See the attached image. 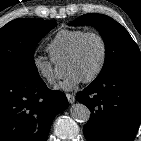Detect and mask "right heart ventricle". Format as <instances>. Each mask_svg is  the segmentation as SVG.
Returning a JSON list of instances; mask_svg holds the SVG:
<instances>
[{
	"label": "right heart ventricle",
	"instance_id": "right-heart-ventricle-1",
	"mask_svg": "<svg viewBox=\"0 0 141 141\" xmlns=\"http://www.w3.org/2000/svg\"><path fill=\"white\" fill-rule=\"evenodd\" d=\"M87 31L82 29H66L59 31L48 43L47 51L53 60L66 59L79 38Z\"/></svg>",
	"mask_w": 141,
	"mask_h": 141
}]
</instances>
